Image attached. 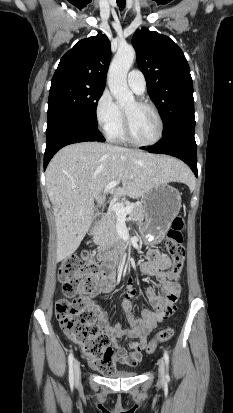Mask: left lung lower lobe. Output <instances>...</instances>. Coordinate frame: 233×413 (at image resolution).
<instances>
[{
	"mask_svg": "<svg viewBox=\"0 0 233 413\" xmlns=\"http://www.w3.org/2000/svg\"><path fill=\"white\" fill-rule=\"evenodd\" d=\"M194 129L195 125L178 124L171 130L164 132L162 139L146 150L181 159L188 164L197 177V145Z\"/></svg>",
	"mask_w": 233,
	"mask_h": 413,
	"instance_id": "obj_1",
	"label": "left lung lower lobe"
}]
</instances>
